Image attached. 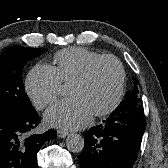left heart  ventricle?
<instances>
[{"mask_svg":"<svg viewBox=\"0 0 168 168\" xmlns=\"http://www.w3.org/2000/svg\"><path fill=\"white\" fill-rule=\"evenodd\" d=\"M117 83L116 64L112 61H103L95 67L86 82L71 84L69 94L72 97H81L94 113L110 103L116 92Z\"/></svg>","mask_w":168,"mask_h":168,"instance_id":"obj_1","label":"left heart ventricle"}]
</instances>
